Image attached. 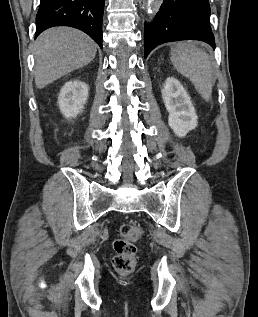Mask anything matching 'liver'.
Here are the masks:
<instances>
[{
	"label": "liver",
	"mask_w": 258,
	"mask_h": 317,
	"mask_svg": "<svg viewBox=\"0 0 258 317\" xmlns=\"http://www.w3.org/2000/svg\"><path fill=\"white\" fill-rule=\"evenodd\" d=\"M96 52L94 40L77 28L56 26L44 30L34 42L37 88H44L67 72L85 66L93 60Z\"/></svg>",
	"instance_id": "obj_1"
}]
</instances>
